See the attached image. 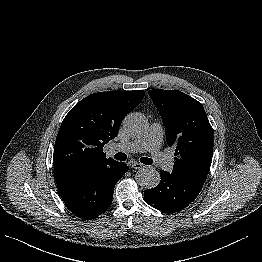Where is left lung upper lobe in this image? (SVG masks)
Here are the masks:
<instances>
[{"mask_svg":"<svg viewBox=\"0 0 262 262\" xmlns=\"http://www.w3.org/2000/svg\"><path fill=\"white\" fill-rule=\"evenodd\" d=\"M165 125L166 142L174 147L171 174L204 185L213 155V129L200 102L178 90L148 91Z\"/></svg>","mask_w":262,"mask_h":262,"instance_id":"obj_1","label":"left lung upper lobe"}]
</instances>
